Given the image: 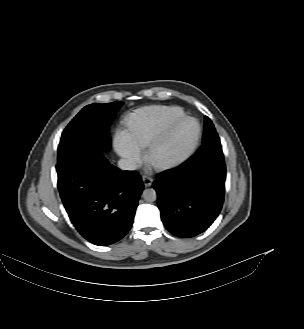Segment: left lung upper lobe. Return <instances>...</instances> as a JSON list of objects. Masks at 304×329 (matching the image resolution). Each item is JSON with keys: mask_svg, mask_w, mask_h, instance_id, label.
<instances>
[{"mask_svg": "<svg viewBox=\"0 0 304 329\" xmlns=\"http://www.w3.org/2000/svg\"><path fill=\"white\" fill-rule=\"evenodd\" d=\"M215 128L212 121L206 116L204 122L203 141L207 139L212 133H215Z\"/></svg>", "mask_w": 304, "mask_h": 329, "instance_id": "obj_1", "label": "left lung upper lobe"}]
</instances>
